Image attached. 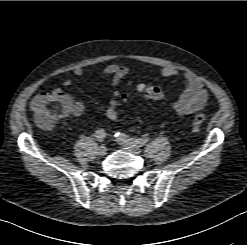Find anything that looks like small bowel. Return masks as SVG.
<instances>
[{
  "label": "small bowel",
  "mask_w": 247,
  "mask_h": 245,
  "mask_svg": "<svg viewBox=\"0 0 247 245\" xmlns=\"http://www.w3.org/2000/svg\"><path fill=\"white\" fill-rule=\"evenodd\" d=\"M84 73L85 69L82 67H76L73 70V74L75 76H81ZM102 73L111 77L109 91H113L121 83V81L128 76L129 69L127 66L114 63L107 65L102 70ZM159 73L163 77L179 78L184 84V88L180 96L173 103V108L179 117L193 114L205 106L208 101V93L202 81L195 74L191 72H182L172 67H163L160 69ZM71 85V79H66L63 81L64 87H70ZM52 93H60L70 102V110L67 116L79 117L83 114L85 105L82 101L74 100L72 96L65 93L60 88L54 89ZM42 94L44 93H40L36 97H39ZM127 97L131 98L132 92L128 91Z\"/></svg>",
  "instance_id": "small-bowel-1"
}]
</instances>
